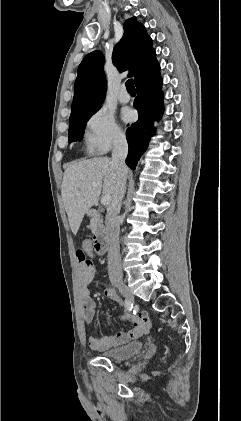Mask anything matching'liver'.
<instances>
[{"label":"liver","mask_w":241,"mask_h":421,"mask_svg":"<svg viewBox=\"0 0 241 421\" xmlns=\"http://www.w3.org/2000/svg\"><path fill=\"white\" fill-rule=\"evenodd\" d=\"M117 181V170L107 157L73 162L66 168L61 195L74 235L77 234L84 215L100 194L113 195Z\"/></svg>","instance_id":"liver-1"}]
</instances>
